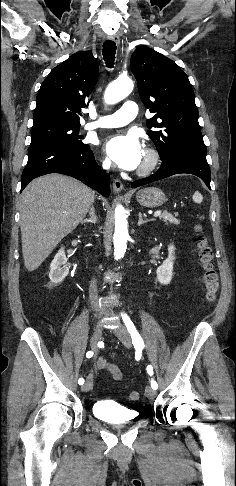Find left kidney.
<instances>
[{
  "label": "left kidney",
  "mask_w": 236,
  "mask_h": 486,
  "mask_svg": "<svg viewBox=\"0 0 236 486\" xmlns=\"http://www.w3.org/2000/svg\"><path fill=\"white\" fill-rule=\"evenodd\" d=\"M175 247L173 245L168 246V258L163 261L156 270L157 280L162 285H167L170 283L173 276V264L175 260L174 256Z\"/></svg>",
  "instance_id": "left-kidney-1"
}]
</instances>
